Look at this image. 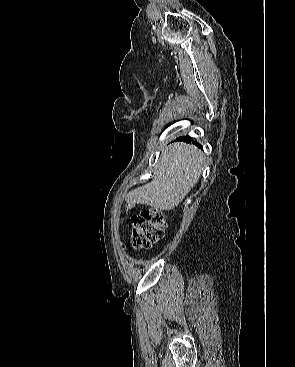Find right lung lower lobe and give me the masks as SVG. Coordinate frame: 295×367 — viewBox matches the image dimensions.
<instances>
[{"instance_id":"1","label":"right lung lower lobe","mask_w":295,"mask_h":367,"mask_svg":"<svg viewBox=\"0 0 295 367\" xmlns=\"http://www.w3.org/2000/svg\"><path fill=\"white\" fill-rule=\"evenodd\" d=\"M177 141H186V142H190L189 141V139H188V137H179V138H177ZM194 144H196L197 146H199V147H201V145L200 144H198L197 142H193Z\"/></svg>"}]
</instances>
